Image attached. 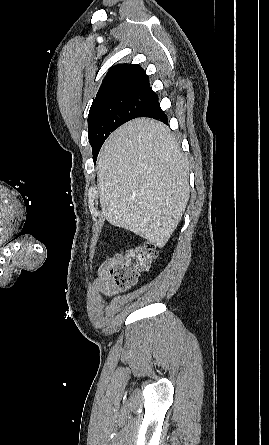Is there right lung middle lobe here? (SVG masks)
<instances>
[{"instance_id": "dd1d6c3e", "label": "right lung middle lobe", "mask_w": 269, "mask_h": 445, "mask_svg": "<svg viewBox=\"0 0 269 445\" xmlns=\"http://www.w3.org/2000/svg\"><path fill=\"white\" fill-rule=\"evenodd\" d=\"M157 99V94L151 88L121 89L95 99L88 116V137L94 162L110 133L139 117Z\"/></svg>"}]
</instances>
